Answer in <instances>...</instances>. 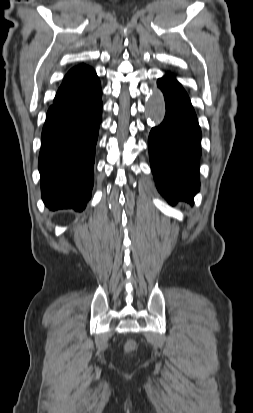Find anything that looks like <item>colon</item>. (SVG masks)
<instances>
[{"mask_svg": "<svg viewBox=\"0 0 253 413\" xmlns=\"http://www.w3.org/2000/svg\"><path fill=\"white\" fill-rule=\"evenodd\" d=\"M134 348H135V342L132 340L128 341L125 347L126 351H131Z\"/></svg>", "mask_w": 253, "mask_h": 413, "instance_id": "obj_1", "label": "colon"}]
</instances>
